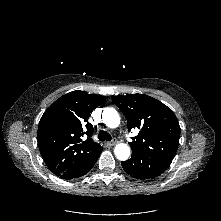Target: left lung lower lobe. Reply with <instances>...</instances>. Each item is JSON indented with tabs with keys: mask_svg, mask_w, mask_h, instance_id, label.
Segmentation results:
<instances>
[{
	"mask_svg": "<svg viewBox=\"0 0 221 221\" xmlns=\"http://www.w3.org/2000/svg\"><path fill=\"white\" fill-rule=\"evenodd\" d=\"M171 164V161L145 157L132 153L129 160L121 163L126 173L140 180H147L161 175Z\"/></svg>",
	"mask_w": 221,
	"mask_h": 221,
	"instance_id": "obj_1",
	"label": "left lung lower lobe"
}]
</instances>
